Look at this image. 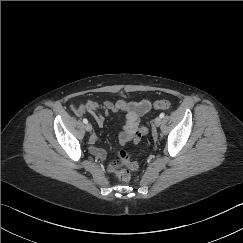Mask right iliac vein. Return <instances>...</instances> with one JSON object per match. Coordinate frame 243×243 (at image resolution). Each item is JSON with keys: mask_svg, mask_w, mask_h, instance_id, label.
I'll return each mask as SVG.
<instances>
[{"mask_svg": "<svg viewBox=\"0 0 243 243\" xmlns=\"http://www.w3.org/2000/svg\"><path fill=\"white\" fill-rule=\"evenodd\" d=\"M85 129H86V131L91 132L93 128H92V125L90 123H87L85 125Z\"/></svg>", "mask_w": 243, "mask_h": 243, "instance_id": "right-iliac-vein-1", "label": "right iliac vein"}]
</instances>
